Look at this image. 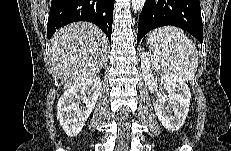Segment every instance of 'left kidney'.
<instances>
[{
  "label": "left kidney",
  "instance_id": "1",
  "mask_svg": "<svg viewBox=\"0 0 231 151\" xmlns=\"http://www.w3.org/2000/svg\"><path fill=\"white\" fill-rule=\"evenodd\" d=\"M141 68L145 84L157 92L154 109L159 121L169 131L179 130L189 112L190 88L169 64L149 52L142 53Z\"/></svg>",
  "mask_w": 231,
  "mask_h": 151
}]
</instances>
